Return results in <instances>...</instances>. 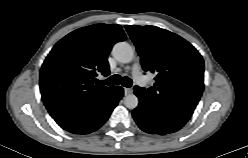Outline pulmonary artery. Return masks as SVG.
Masks as SVG:
<instances>
[{"mask_svg":"<svg viewBox=\"0 0 248 158\" xmlns=\"http://www.w3.org/2000/svg\"><path fill=\"white\" fill-rule=\"evenodd\" d=\"M132 74H133L135 82H137L138 84H140L143 87L148 86V81H147L146 77L141 72V67H140L139 62H136L133 65Z\"/></svg>","mask_w":248,"mask_h":158,"instance_id":"obj_1","label":"pulmonary artery"}]
</instances>
